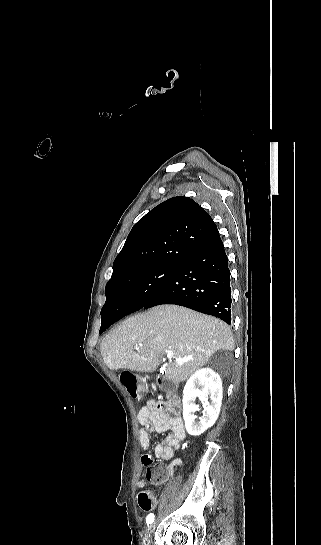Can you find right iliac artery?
<instances>
[{
  "mask_svg": "<svg viewBox=\"0 0 321 545\" xmlns=\"http://www.w3.org/2000/svg\"><path fill=\"white\" fill-rule=\"evenodd\" d=\"M154 519H155L154 514L150 513L146 518L147 525H150L152 522H154Z\"/></svg>",
  "mask_w": 321,
  "mask_h": 545,
  "instance_id": "1",
  "label": "right iliac artery"
}]
</instances>
